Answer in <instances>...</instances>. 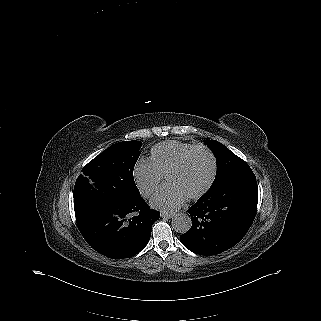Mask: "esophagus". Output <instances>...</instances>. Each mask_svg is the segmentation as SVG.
Returning <instances> with one entry per match:
<instances>
[{
  "instance_id": "34e87169",
  "label": "esophagus",
  "mask_w": 321,
  "mask_h": 321,
  "mask_svg": "<svg viewBox=\"0 0 321 321\" xmlns=\"http://www.w3.org/2000/svg\"><path fill=\"white\" fill-rule=\"evenodd\" d=\"M161 216H162L164 219H170V218L173 216V213L163 212V213L161 214Z\"/></svg>"
}]
</instances>
